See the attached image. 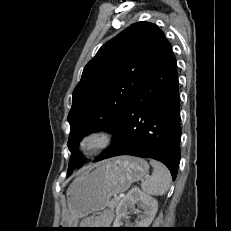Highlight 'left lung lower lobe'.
<instances>
[{
    "label": "left lung lower lobe",
    "mask_w": 231,
    "mask_h": 231,
    "mask_svg": "<svg viewBox=\"0 0 231 231\" xmlns=\"http://www.w3.org/2000/svg\"><path fill=\"white\" fill-rule=\"evenodd\" d=\"M112 133V144L94 162L119 155L153 158L164 163L175 180L180 159L179 86L167 39Z\"/></svg>",
    "instance_id": "0a47b994"
}]
</instances>
